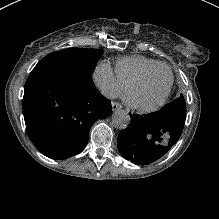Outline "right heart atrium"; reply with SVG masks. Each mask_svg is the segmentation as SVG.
<instances>
[{
    "label": "right heart atrium",
    "mask_w": 219,
    "mask_h": 219,
    "mask_svg": "<svg viewBox=\"0 0 219 219\" xmlns=\"http://www.w3.org/2000/svg\"><path fill=\"white\" fill-rule=\"evenodd\" d=\"M93 79L98 88L108 97H116L124 92V86L107 63H98L94 67Z\"/></svg>",
    "instance_id": "1"
}]
</instances>
